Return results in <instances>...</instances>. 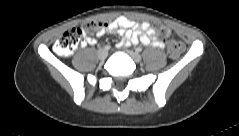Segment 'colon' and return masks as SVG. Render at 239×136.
Here are the masks:
<instances>
[{"instance_id":"5ec220e1","label":"colon","mask_w":239,"mask_h":136,"mask_svg":"<svg viewBox=\"0 0 239 136\" xmlns=\"http://www.w3.org/2000/svg\"><path fill=\"white\" fill-rule=\"evenodd\" d=\"M104 24L100 21L90 20L84 22L80 27L72 28L63 33L55 42L54 50L61 56H67L71 54L79 45L81 37L83 35L88 38H94L104 29ZM157 30L160 35L167 37V52L170 57H178L183 49L184 45L180 41H176L170 37V31L159 25Z\"/></svg>"}]
</instances>
